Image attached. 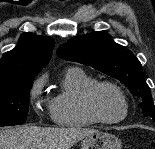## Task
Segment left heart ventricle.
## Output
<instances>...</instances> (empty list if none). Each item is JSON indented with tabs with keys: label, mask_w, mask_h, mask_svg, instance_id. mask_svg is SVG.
<instances>
[{
	"label": "left heart ventricle",
	"mask_w": 155,
	"mask_h": 149,
	"mask_svg": "<svg viewBox=\"0 0 155 149\" xmlns=\"http://www.w3.org/2000/svg\"><path fill=\"white\" fill-rule=\"evenodd\" d=\"M95 104L105 119H116L124 112V104L119 93L109 86L100 87L95 95Z\"/></svg>",
	"instance_id": "obj_1"
}]
</instances>
